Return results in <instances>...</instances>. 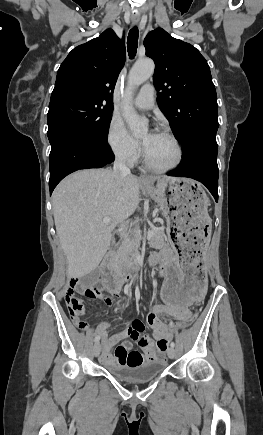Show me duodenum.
<instances>
[{
	"instance_id": "duodenum-1",
	"label": "duodenum",
	"mask_w": 263,
	"mask_h": 435,
	"mask_svg": "<svg viewBox=\"0 0 263 435\" xmlns=\"http://www.w3.org/2000/svg\"><path fill=\"white\" fill-rule=\"evenodd\" d=\"M103 266L107 287L113 292L118 291L123 283L129 282L133 279L131 274L122 273L116 268L114 252L107 253Z\"/></svg>"
}]
</instances>
